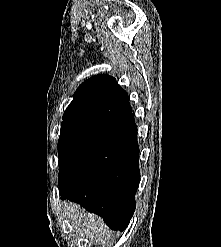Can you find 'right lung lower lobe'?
Returning a JSON list of instances; mask_svg holds the SVG:
<instances>
[{"label": "right lung lower lobe", "mask_w": 221, "mask_h": 247, "mask_svg": "<svg viewBox=\"0 0 221 247\" xmlns=\"http://www.w3.org/2000/svg\"><path fill=\"white\" fill-rule=\"evenodd\" d=\"M140 179L133 113L81 131L59 157L61 199L77 202L123 231L135 211Z\"/></svg>", "instance_id": "obj_1"}]
</instances>
